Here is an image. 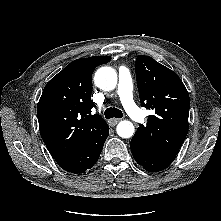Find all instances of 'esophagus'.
<instances>
[{
	"instance_id": "obj_1",
	"label": "esophagus",
	"mask_w": 221,
	"mask_h": 221,
	"mask_svg": "<svg viewBox=\"0 0 221 221\" xmlns=\"http://www.w3.org/2000/svg\"><path fill=\"white\" fill-rule=\"evenodd\" d=\"M120 121H121V119L114 118L109 121V124H110V126H116Z\"/></svg>"
}]
</instances>
